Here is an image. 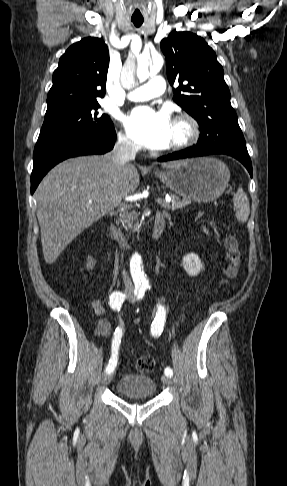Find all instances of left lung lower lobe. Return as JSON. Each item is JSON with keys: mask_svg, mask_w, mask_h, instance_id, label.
<instances>
[{"mask_svg": "<svg viewBox=\"0 0 287 486\" xmlns=\"http://www.w3.org/2000/svg\"><path fill=\"white\" fill-rule=\"evenodd\" d=\"M210 154H226L239 160L248 170L252 177V163L247 151H234L220 148H201L190 147L182 151L174 152L168 156H164L158 159V161H169L176 159H184L190 157L206 156Z\"/></svg>", "mask_w": 287, "mask_h": 486, "instance_id": "1", "label": "left lung lower lobe"}]
</instances>
